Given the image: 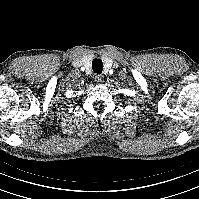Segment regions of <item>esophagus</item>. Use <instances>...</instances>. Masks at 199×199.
<instances>
[{"label": "esophagus", "mask_w": 199, "mask_h": 199, "mask_svg": "<svg viewBox=\"0 0 199 199\" xmlns=\"http://www.w3.org/2000/svg\"><path fill=\"white\" fill-rule=\"evenodd\" d=\"M95 81L99 84L103 83L104 81V76L102 74H98L95 76Z\"/></svg>", "instance_id": "1"}]
</instances>
